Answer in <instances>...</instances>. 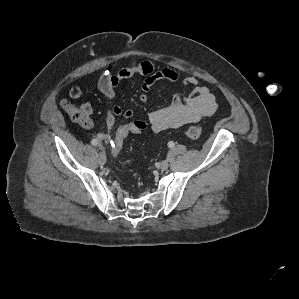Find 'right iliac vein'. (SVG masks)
<instances>
[{
  "label": "right iliac vein",
  "instance_id": "1",
  "mask_svg": "<svg viewBox=\"0 0 299 299\" xmlns=\"http://www.w3.org/2000/svg\"><path fill=\"white\" fill-rule=\"evenodd\" d=\"M99 149L101 150V152L98 155V161L101 165H104L106 163V155L105 153L102 151L103 148L101 145H99Z\"/></svg>",
  "mask_w": 299,
  "mask_h": 299
}]
</instances>
